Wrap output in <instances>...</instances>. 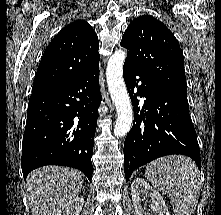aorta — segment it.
<instances>
[{
  "label": "aorta",
  "mask_w": 221,
  "mask_h": 215,
  "mask_svg": "<svg viewBox=\"0 0 221 215\" xmlns=\"http://www.w3.org/2000/svg\"><path fill=\"white\" fill-rule=\"evenodd\" d=\"M126 54L125 50H116L109 58L106 69L108 89L118 115L113 129L117 137L125 136L130 131L133 121L132 104L123 79Z\"/></svg>",
  "instance_id": "1"
}]
</instances>
